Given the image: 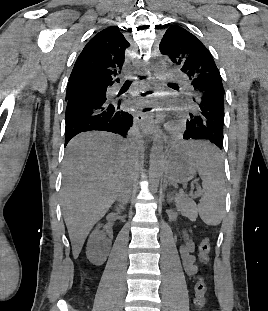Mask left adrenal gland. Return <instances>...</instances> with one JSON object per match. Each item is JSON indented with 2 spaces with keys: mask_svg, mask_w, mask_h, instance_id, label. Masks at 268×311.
Instances as JSON below:
<instances>
[{
  "mask_svg": "<svg viewBox=\"0 0 268 311\" xmlns=\"http://www.w3.org/2000/svg\"><path fill=\"white\" fill-rule=\"evenodd\" d=\"M167 185H168V181L165 179V180H164V186H163V189H164V190H166Z\"/></svg>",
  "mask_w": 268,
  "mask_h": 311,
  "instance_id": "left-adrenal-gland-1",
  "label": "left adrenal gland"
}]
</instances>
